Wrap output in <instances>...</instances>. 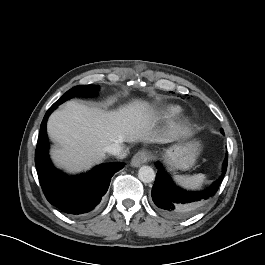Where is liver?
Listing matches in <instances>:
<instances>
[{"label":"liver","instance_id":"1","mask_svg":"<svg viewBox=\"0 0 265 265\" xmlns=\"http://www.w3.org/2000/svg\"><path fill=\"white\" fill-rule=\"evenodd\" d=\"M154 118L146 101L135 100L115 111L69 101L51 114L47 132L59 147L51 150L54 163L80 172L101 162L105 147L115 142H167L154 138Z\"/></svg>","mask_w":265,"mask_h":265}]
</instances>
